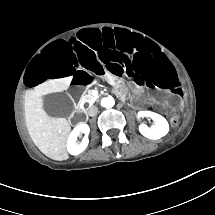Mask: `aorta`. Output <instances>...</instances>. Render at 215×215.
Segmentation results:
<instances>
[{"instance_id": "aorta-1", "label": "aorta", "mask_w": 215, "mask_h": 215, "mask_svg": "<svg viewBox=\"0 0 215 215\" xmlns=\"http://www.w3.org/2000/svg\"><path fill=\"white\" fill-rule=\"evenodd\" d=\"M101 103H102V106L105 108H112L115 105L116 101L114 97L107 96L102 99Z\"/></svg>"}]
</instances>
